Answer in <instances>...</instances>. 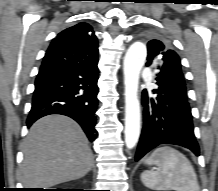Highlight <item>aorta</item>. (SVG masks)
I'll use <instances>...</instances> for the list:
<instances>
[{
  "label": "aorta",
  "instance_id": "1",
  "mask_svg": "<svg viewBox=\"0 0 218 191\" xmlns=\"http://www.w3.org/2000/svg\"><path fill=\"white\" fill-rule=\"evenodd\" d=\"M147 56L146 46L133 43L124 57L125 85V144L132 149L140 136L141 112L138 99V82L141 69Z\"/></svg>",
  "mask_w": 218,
  "mask_h": 191
}]
</instances>
